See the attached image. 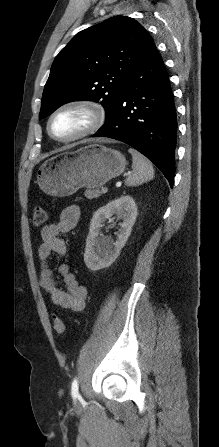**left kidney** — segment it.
Here are the masks:
<instances>
[{
    "instance_id": "5707ae66",
    "label": "left kidney",
    "mask_w": 219,
    "mask_h": 447,
    "mask_svg": "<svg viewBox=\"0 0 219 447\" xmlns=\"http://www.w3.org/2000/svg\"><path fill=\"white\" fill-rule=\"evenodd\" d=\"M113 214L123 220L115 243L105 236L98 237L104 222L110 219ZM136 217L137 206L134 199L129 195L110 201L94 212L84 253V262L87 268L98 271L109 267L116 260L131 234Z\"/></svg>"
}]
</instances>
